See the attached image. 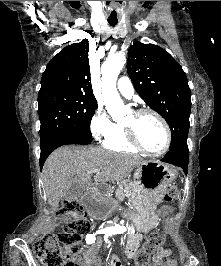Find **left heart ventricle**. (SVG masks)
<instances>
[{
    "label": "left heart ventricle",
    "mask_w": 221,
    "mask_h": 266,
    "mask_svg": "<svg viewBox=\"0 0 221 266\" xmlns=\"http://www.w3.org/2000/svg\"><path fill=\"white\" fill-rule=\"evenodd\" d=\"M124 124L134 126L140 143L150 151L160 150L165 142V131L159 120L151 114L136 118L131 113Z\"/></svg>",
    "instance_id": "obj_1"
}]
</instances>
